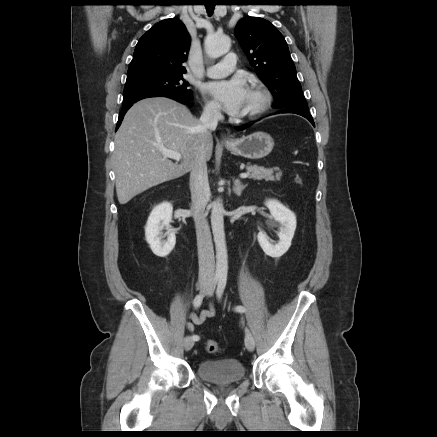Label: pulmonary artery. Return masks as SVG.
I'll use <instances>...</instances> for the list:
<instances>
[{
    "mask_svg": "<svg viewBox=\"0 0 437 437\" xmlns=\"http://www.w3.org/2000/svg\"><path fill=\"white\" fill-rule=\"evenodd\" d=\"M235 66L236 55L228 53L221 62L207 67L205 73L211 78H221L230 74L235 69Z\"/></svg>",
    "mask_w": 437,
    "mask_h": 437,
    "instance_id": "obj_1",
    "label": "pulmonary artery"
}]
</instances>
